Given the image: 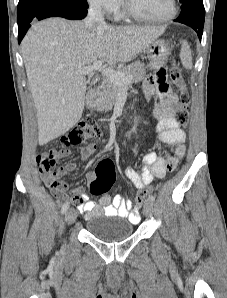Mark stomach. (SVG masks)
Listing matches in <instances>:
<instances>
[{
	"mask_svg": "<svg viewBox=\"0 0 227 298\" xmlns=\"http://www.w3.org/2000/svg\"><path fill=\"white\" fill-rule=\"evenodd\" d=\"M149 60L150 69H158L163 67L170 53L169 46L164 40L158 39L150 43L144 48Z\"/></svg>",
	"mask_w": 227,
	"mask_h": 298,
	"instance_id": "stomach-1",
	"label": "stomach"
}]
</instances>
